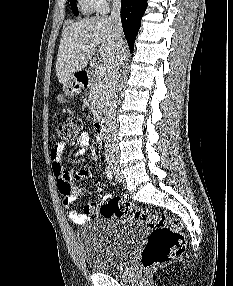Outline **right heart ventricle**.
Returning a JSON list of instances; mask_svg holds the SVG:
<instances>
[{
  "label": "right heart ventricle",
  "mask_w": 233,
  "mask_h": 286,
  "mask_svg": "<svg viewBox=\"0 0 233 286\" xmlns=\"http://www.w3.org/2000/svg\"><path fill=\"white\" fill-rule=\"evenodd\" d=\"M78 1L81 11L85 14H90L97 10L93 0H78Z\"/></svg>",
  "instance_id": "obj_1"
}]
</instances>
